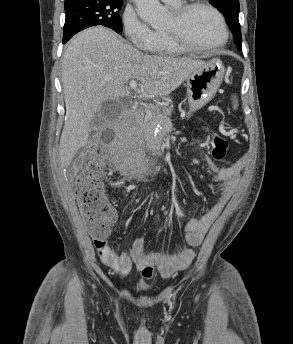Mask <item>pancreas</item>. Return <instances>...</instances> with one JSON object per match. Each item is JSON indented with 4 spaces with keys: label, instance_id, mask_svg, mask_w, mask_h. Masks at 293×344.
I'll return each instance as SVG.
<instances>
[{
    "label": "pancreas",
    "instance_id": "pancreas-1",
    "mask_svg": "<svg viewBox=\"0 0 293 344\" xmlns=\"http://www.w3.org/2000/svg\"><path fill=\"white\" fill-rule=\"evenodd\" d=\"M171 110L166 106L162 108H150L146 110L145 118L140 121L138 132L144 133L145 131H153L157 125H168L170 123ZM135 130H122V136L128 139H133Z\"/></svg>",
    "mask_w": 293,
    "mask_h": 344
}]
</instances>
